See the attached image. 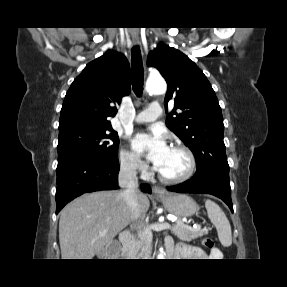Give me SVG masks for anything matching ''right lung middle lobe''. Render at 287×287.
<instances>
[{
	"instance_id": "1",
	"label": "right lung middle lobe",
	"mask_w": 287,
	"mask_h": 287,
	"mask_svg": "<svg viewBox=\"0 0 287 287\" xmlns=\"http://www.w3.org/2000/svg\"><path fill=\"white\" fill-rule=\"evenodd\" d=\"M119 138L112 127L75 123L59 128L58 164L72 159H91L111 165L118 161Z\"/></svg>"
}]
</instances>
